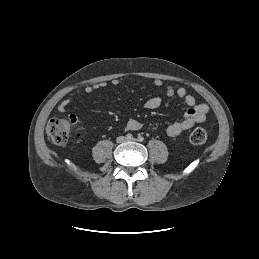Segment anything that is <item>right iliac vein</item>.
Wrapping results in <instances>:
<instances>
[{
    "label": "right iliac vein",
    "instance_id": "63e3f726",
    "mask_svg": "<svg viewBox=\"0 0 259 259\" xmlns=\"http://www.w3.org/2000/svg\"><path fill=\"white\" fill-rule=\"evenodd\" d=\"M124 141H125V138L122 137V136L117 138V142H118V143H122V142H124Z\"/></svg>",
    "mask_w": 259,
    "mask_h": 259
}]
</instances>
